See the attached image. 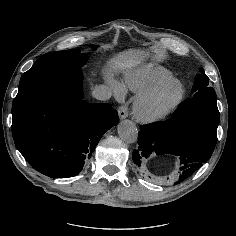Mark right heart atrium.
<instances>
[{
	"label": "right heart atrium",
	"instance_id": "d8ad5b80",
	"mask_svg": "<svg viewBox=\"0 0 236 236\" xmlns=\"http://www.w3.org/2000/svg\"><path fill=\"white\" fill-rule=\"evenodd\" d=\"M105 82L109 86L113 97L117 102H122L126 96L124 85L112 74H106Z\"/></svg>",
	"mask_w": 236,
	"mask_h": 236
}]
</instances>
